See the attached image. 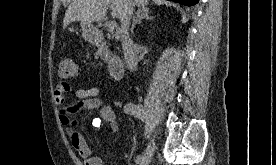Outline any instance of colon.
Masks as SVG:
<instances>
[{
	"label": "colon",
	"mask_w": 276,
	"mask_h": 165,
	"mask_svg": "<svg viewBox=\"0 0 276 165\" xmlns=\"http://www.w3.org/2000/svg\"><path fill=\"white\" fill-rule=\"evenodd\" d=\"M58 73L63 79L74 78L79 73V66L72 57L65 56L60 60Z\"/></svg>",
	"instance_id": "obj_1"
}]
</instances>
